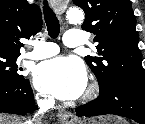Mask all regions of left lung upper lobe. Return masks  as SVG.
I'll use <instances>...</instances> for the list:
<instances>
[{"instance_id": "5c2ea615", "label": "left lung upper lobe", "mask_w": 145, "mask_h": 124, "mask_svg": "<svg viewBox=\"0 0 145 124\" xmlns=\"http://www.w3.org/2000/svg\"><path fill=\"white\" fill-rule=\"evenodd\" d=\"M85 12L82 29L94 33L98 55L85 61L97 77L100 93L120 82L145 86L136 19L130 0H73Z\"/></svg>"}]
</instances>
